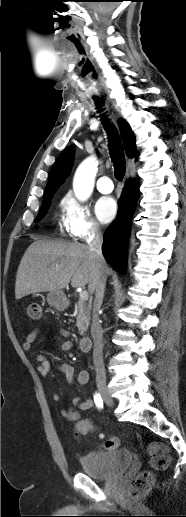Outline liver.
Instances as JSON below:
<instances>
[{"label": "liver", "mask_w": 186, "mask_h": 517, "mask_svg": "<svg viewBox=\"0 0 186 517\" xmlns=\"http://www.w3.org/2000/svg\"><path fill=\"white\" fill-rule=\"evenodd\" d=\"M96 260L89 247L80 243L38 240L23 255L15 283L17 300L29 294L88 285L92 294L97 276ZM104 272L109 268L104 264Z\"/></svg>", "instance_id": "1"}]
</instances>
